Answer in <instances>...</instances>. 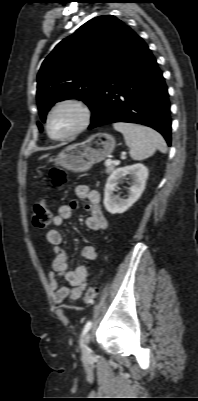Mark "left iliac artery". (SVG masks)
I'll use <instances>...</instances> for the list:
<instances>
[{"label": "left iliac artery", "instance_id": "44dca946", "mask_svg": "<svg viewBox=\"0 0 198 401\" xmlns=\"http://www.w3.org/2000/svg\"><path fill=\"white\" fill-rule=\"evenodd\" d=\"M91 326H92V322L91 321H88L86 324H85V326H84V328H83V331H82V337L89 331V329L91 328ZM83 345V342H82V339H81V346Z\"/></svg>", "mask_w": 198, "mask_h": 401}]
</instances>
